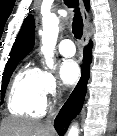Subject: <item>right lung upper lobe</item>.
<instances>
[{"label": "right lung upper lobe", "instance_id": "right-lung-upper-lobe-1", "mask_svg": "<svg viewBox=\"0 0 117 136\" xmlns=\"http://www.w3.org/2000/svg\"><path fill=\"white\" fill-rule=\"evenodd\" d=\"M86 10H89V0H83ZM35 26L32 15H28L17 35L10 52L9 60L23 59L34 46Z\"/></svg>", "mask_w": 117, "mask_h": 136}]
</instances>
